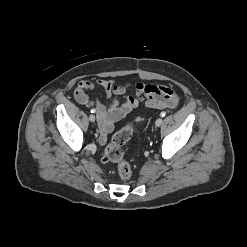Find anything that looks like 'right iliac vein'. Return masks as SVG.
I'll list each match as a JSON object with an SVG mask.
<instances>
[{
	"instance_id": "1",
	"label": "right iliac vein",
	"mask_w": 247,
	"mask_h": 247,
	"mask_svg": "<svg viewBox=\"0 0 247 247\" xmlns=\"http://www.w3.org/2000/svg\"><path fill=\"white\" fill-rule=\"evenodd\" d=\"M89 120H90L91 122H94V121H95V116H94L93 114H91V115L89 116Z\"/></svg>"
}]
</instances>
